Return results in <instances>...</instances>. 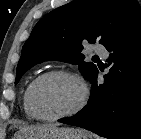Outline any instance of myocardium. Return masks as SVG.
<instances>
[{"label": "myocardium", "instance_id": "obj_1", "mask_svg": "<svg viewBox=\"0 0 141 139\" xmlns=\"http://www.w3.org/2000/svg\"><path fill=\"white\" fill-rule=\"evenodd\" d=\"M53 76H64V77H69L71 79H74L80 86L81 95L77 104L70 110L57 114V115H45L38 109L36 105L35 91L38 84L41 81ZM88 96H89L88 86L85 80L79 74L70 70H66V69H54V70H50V71L42 73L31 82L29 90H28V104L32 113L35 115L37 119H40L43 121H56V120L73 116L77 114L78 112H80L87 104Z\"/></svg>", "mask_w": 141, "mask_h": 139}]
</instances>
